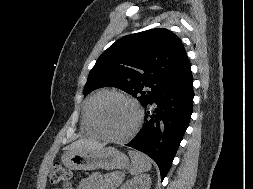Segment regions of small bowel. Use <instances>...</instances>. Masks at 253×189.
Listing matches in <instances>:
<instances>
[{"instance_id": "c3829d8e", "label": "small bowel", "mask_w": 253, "mask_h": 189, "mask_svg": "<svg viewBox=\"0 0 253 189\" xmlns=\"http://www.w3.org/2000/svg\"><path fill=\"white\" fill-rule=\"evenodd\" d=\"M107 185L103 179V177L98 174L94 173L90 175L88 178L82 180L78 185L77 189H107ZM59 189V188H56ZM73 189V188H68Z\"/></svg>"}]
</instances>
